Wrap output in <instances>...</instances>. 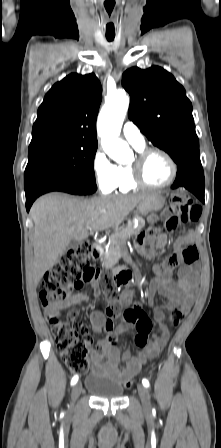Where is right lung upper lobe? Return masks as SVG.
<instances>
[{
	"label": "right lung upper lobe",
	"instance_id": "right-lung-upper-lobe-1",
	"mask_svg": "<svg viewBox=\"0 0 221 448\" xmlns=\"http://www.w3.org/2000/svg\"><path fill=\"white\" fill-rule=\"evenodd\" d=\"M101 99L102 87L93 73H72L54 84L38 109L29 148L60 141H97Z\"/></svg>",
	"mask_w": 221,
	"mask_h": 448
}]
</instances>
